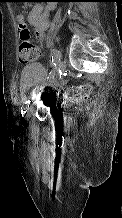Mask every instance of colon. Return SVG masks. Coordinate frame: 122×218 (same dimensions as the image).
<instances>
[{"mask_svg":"<svg viewBox=\"0 0 122 218\" xmlns=\"http://www.w3.org/2000/svg\"><path fill=\"white\" fill-rule=\"evenodd\" d=\"M20 35L19 58L23 63L37 59L38 49L33 44L30 30L25 22L18 25ZM92 92V86L89 84H80L69 87L64 92V99L68 102H80L87 100Z\"/></svg>","mask_w":122,"mask_h":218,"instance_id":"1","label":"colon"}]
</instances>
